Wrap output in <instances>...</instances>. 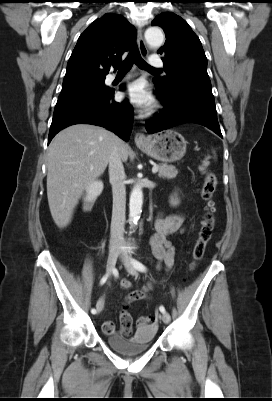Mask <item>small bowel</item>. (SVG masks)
<instances>
[{"label": "small bowel", "mask_w": 272, "mask_h": 401, "mask_svg": "<svg viewBox=\"0 0 272 401\" xmlns=\"http://www.w3.org/2000/svg\"><path fill=\"white\" fill-rule=\"evenodd\" d=\"M156 232L150 239L151 248L155 257L160 263H164L166 270H170L174 264L176 249L174 245L167 239V237L176 232L185 231L184 216L182 214L163 215L160 214L156 219ZM123 289H129L131 282L127 279H122L120 283ZM151 286L147 285L138 290L129 293L123 301L119 319H120V332L125 336H130L133 333L132 316L129 312L130 306L139 300L146 299ZM103 300V299H102ZM99 308L102 309L103 302L97 303ZM153 326H139L138 329ZM103 330L106 334H113L116 330V325L113 321L107 320L103 324Z\"/></svg>", "instance_id": "1"}]
</instances>
